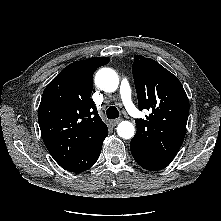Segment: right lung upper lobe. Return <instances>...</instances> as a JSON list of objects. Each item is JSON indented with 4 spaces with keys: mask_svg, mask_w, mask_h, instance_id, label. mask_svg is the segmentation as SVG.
I'll list each match as a JSON object with an SVG mask.
<instances>
[{
    "mask_svg": "<svg viewBox=\"0 0 221 221\" xmlns=\"http://www.w3.org/2000/svg\"><path fill=\"white\" fill-rule=\"evenodd\" d=\"M108 57L76 61L45 88L38 108L44 143L61 166L87 148L106 130L91 99L93 73Z\"/></svg>",
    "mask_w": 221,
    "mask_h": 221,
    "instance_id": "cb5924a9",
    "label": "right lung upper lobe"
}]
</instances>
